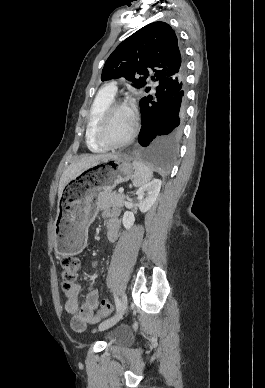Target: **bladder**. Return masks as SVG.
<instances>
[{"instance_id": "1", "label": "bladder", "mask_w": 265, "mask_h": 388, "mask_svg": "<svg viewBox=\"0 0 265 388\" xmlns=\"http://www.w3.org/2000/svg\"><path fill=\"white\" fill-rule=\"evenodd\" d=\"M124 331L123 330H116L111 333H108L105 336V339L110 342H120L123 338Z\"/></svg>"}]
</instances>
